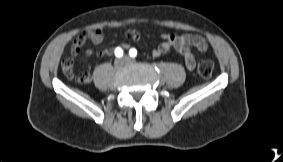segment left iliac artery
I'll return each instance as SVG.
<instances>
[{
  "instance_id": "1",
  "label": "left iliac artery",
  "mask_w": 283,
  "mask_h": 162,
  "mask_svg": "<svg viewBox=\"0 0 283 162\" xmlns=\"http://www.w3.org/2000/svg\"><path fill=\"white\" fill-rule=\"evenodd\" d=\"M129 55L135 58L137 56V50L135 48L130 49Z\"/></svg>"
}]
</instances>
